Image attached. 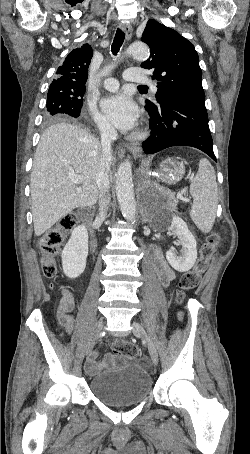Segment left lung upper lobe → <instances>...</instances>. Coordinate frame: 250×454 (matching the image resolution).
Masks as SVG:
<instances>
[{
  "mask_svg": "<svg viewBox=\"0 0 250 454\" xmlns=\"http://www.w3.org/2000/svg\"><path fill=\"white\" fill-rule=\"evenodd\" d=\"M142 41L147 43L151 56L142 67L157 79V103L146 100L147 108H156L170 100H204L202 72L198 54L187 39L175 30L150 19Z\"/></svg>",
  "mask_w": 250,
  "mask_h": 454,
  "instance_id": "left-lung-upper-lobe-1",
  "label": "left lung upper lobe"
}]
</instances>
